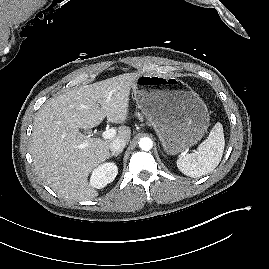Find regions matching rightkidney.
Masks as SVG:
<instances>
[{
	"label": "right kidney",
	"instance_id": "right-kidney-1",
	"mask_svg": "<svg viewBox=\"0 0 269 269\" xmlns=\"http://www.w3.org/2000/svg\"><path fill=\"white\" fill-rule=\"evenodd\" d=\"M118 168L115 163H104L94 169L90 184L92 187L101 189L111 183L117 176Z\"/></svg>",
	"mask_w": 269,
	"mask_h": 269
}]
</instances>
